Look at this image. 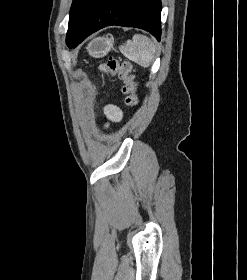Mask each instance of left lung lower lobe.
<instances>
[{"label":"left lung lower lobe","instance_id":"left-lung-lower-lobe-1","mask_svg":"<svg viewBox=\"0 0 247 280\" xmlns=\"http://www.w3.org/2000/svg\"><path fill=\"white\" fill-rule=\"evenodd\" d=\"M160 0H101L89 13L79 31L67 36L69 48L76 47L99 29L119 25L149 31L157 40L161 37Z\"/></svg>","mask_w":247,"mask_h":280}]
</instances>
